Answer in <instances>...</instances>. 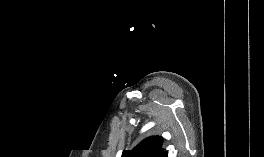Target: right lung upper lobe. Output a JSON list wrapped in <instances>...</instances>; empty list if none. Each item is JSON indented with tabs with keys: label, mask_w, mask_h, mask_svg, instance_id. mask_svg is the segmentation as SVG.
Masks as SVG:
<instances>
[{
	"label": "right lung upper lobe",
	"mask_w": 264,
	"mask_h": 157,
	"mask_svg": "<svg viewBox=\"0 0 264 157\" xmlns=\"http://www.w3.org/2000/svg\"><path fill=\"white\" fill-rule=\"evenodd\" d=\"M163 139L151 136L144 139L132 150H124L121 157H168L161 148Z\"/></svg>",
	"instance_id": "right-lung-upper-lobe-1"
}]
</instances>
